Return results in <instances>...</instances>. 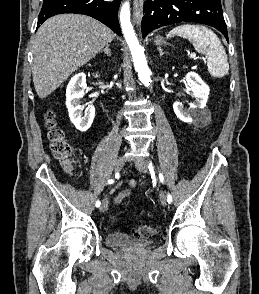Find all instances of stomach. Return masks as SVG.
<instances>
[{"instance_id": "obj_1", "label": "stomach", "mask_w": 259, "mask_h": 294, "mask_svg": "<svg viewBox=\"0 0 259 294\" xmlns=\"http://www.w3.org/2000/svg\"><path fill=\"white\" fill-rule=\"evenodd\" d=\"M155 44L158 45V46H161L163 44H165V41L162 37L160 36H157L156 39H155Z\"/></svg>"}]
</instances>
